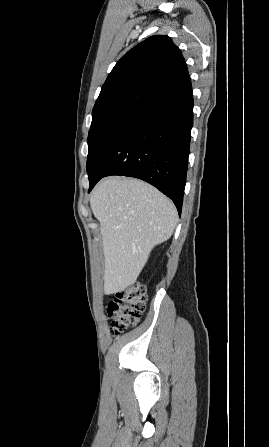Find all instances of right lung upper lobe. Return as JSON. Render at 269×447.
Returning <instances> with one entry per match:
<instances>
[{"mask_svg": "<svg viewBox=\"0 0 269 447\" xmlns=\"http://www.w3.org/2000/svg\"><path fill=\"white\" fill-rule=\"evenodd\" d=\"M188 75L180 50L168 36L156 35L128 51L109 73L93 117L123 106H143Z\"/></svg>", "mask_w": 269, "mask_h": 447, "instance_id": "right-lung-upper-lobe-1", "label": "right lung upper lobe"}]
</instances>
